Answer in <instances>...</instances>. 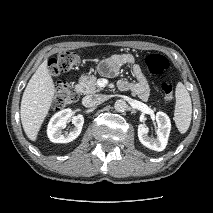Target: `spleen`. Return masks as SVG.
Wrapping results in <instances>:
<instances>
[{
  "label": "spleen",
  "instance_id": "1",
  "mask_svg": "<svg viewBox=\"0 0 213 213\" xmlns=\"http://www.w3.org/2000/svg\"><path fill=\"white\" fill-rule=\"evenodd\" d=\"M176 104L174 110V121L181 134L187 132L192 117V103L189 92L185 86L179 82L176 86Z\"/></svg>",
  "mask_w": 213,
  "mask_h": 213
}]
</instances>
